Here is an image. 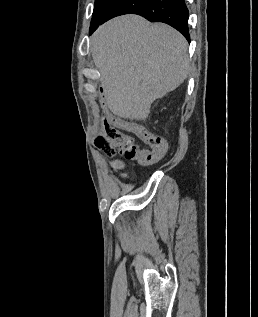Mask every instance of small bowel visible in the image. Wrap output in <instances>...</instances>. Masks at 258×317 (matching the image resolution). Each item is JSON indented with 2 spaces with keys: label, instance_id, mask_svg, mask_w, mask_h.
I'll return each instance as SVG.
<instances>
[{
  "label": "small bowel",
  "instance_id": "obj_1",
  "mask_svg": "<svg viewBox=\"0 0 258 317\" xmlns=\"http://www.w3.org/2000/svg\"><path fill=\"white\" fill-rule=\"evenodd\" d=\"M115 125L127 131L135 133L151 150H160L162 153V158L168 152V142L162 137L153 133L150 129H148L141 123L137 121L120 118L115 123ZM116 165L120 167L122 163L117 162Z\"/></svg>",
  "mask_w": 258,
  "mask_h": 317
}]
</instances>
